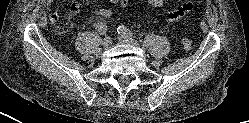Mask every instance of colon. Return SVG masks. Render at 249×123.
Instances as JSON below:
<instances>
[{
    "instance_id": "1",
    "label": "colon",
    "mask_w": 249,
    "mask_h": 123,
    "mask_svg": "<svg viewBox=\"0 0 249 123\" xmlns=\"http://www.w3.org/2000/svg\"><path fill=\"white\" fill-rule=\"evenodd\" d=\"M183 50L191 52L194 49V42L189 37H183L180 41Z\"/></svg>"
}]
</instances>
